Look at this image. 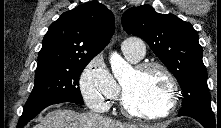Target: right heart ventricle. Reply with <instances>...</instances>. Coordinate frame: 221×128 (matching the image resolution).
Wrapping results in <instances>:
<instances>
[{"label":"right heart ventricle","instance_id":"right-heart-ventricle-1","mask_svg":"<svg viewBox=\"0 0 221 128\" xmlns=\"http://www.w3.org/2000/svg\"><path fill=\"white\" fill-rule=\"evenodd\" d=\"M125 55V54H124ZM125 57L129 60V61H131V62H137V61H134L133 59H131V57H129L128 55H125Z\"/></svg>","mask_w":221,"mask_h":128}]
</instances>
